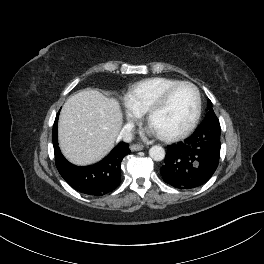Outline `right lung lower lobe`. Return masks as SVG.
I'll return each mask as SVG.
<instances>
[{"label": "right lung lower lobe", "mask_w": 264, "mask_h": 264, "mask_svg": "<svg viewBox=\"0 0 264 264\" xmlns=\"http://www.w3.org/2000/svg\"><path fill=\"white\" fill-rule=\"evenodd\" d=\"M58 115L55 119L52 140L56 167L63 179L75 190L88 195L102 196L120 184L121 162L131 151L129 144L119 143L102 161L90 166H76L62 155L57 139Z\"/></svg>", "instance_id": "right-lung-lower-lobe-1"}]
</instances>
